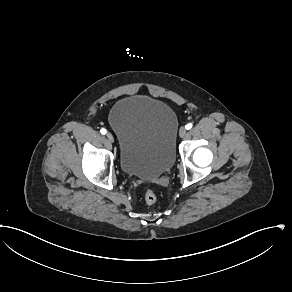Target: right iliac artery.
Instances as JSON below:
<instances>
[{
  "label": "right iliac artery",
  "instance_id": "obj_1",
  "mask_svg": "<svg viewBox=\"0 0 292 292\" xmlns=\"http://www.w3.org/2000/svg\"><path fill=\"white\" fill-rule=\"evenodd\" d=\"M100 132H101V134H106L107 133V130L105 129V128H102L101 130H100Z\"/></svg>",
  "mask_w": 292,
  "mask_h": 292
}]
</instances>
